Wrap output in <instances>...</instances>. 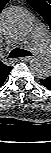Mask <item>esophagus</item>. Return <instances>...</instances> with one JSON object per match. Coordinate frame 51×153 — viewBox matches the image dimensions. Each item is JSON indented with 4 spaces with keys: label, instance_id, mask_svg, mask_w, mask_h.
<instances>
[{
    "label": "esophagus",
    "instance_id": "34e87169",
    "mask_svg": "<svg viewBox=\"0 0 51 153\" xmlns=\"http://www.w3.org/2000/svg\"><path fill=\"white\" fill-rule=\"evenodd\" d=\"M32 59V56H27V57H21L20 60L21 61H29Z\"/></svg>",
    "mask_w": 51,
    "mask_h": 153
}]
</instances>
